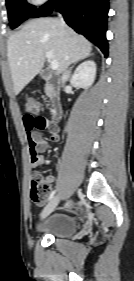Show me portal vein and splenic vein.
<instances>
[{
  "mask_svg": "<svg viewBox=\"0 0 134 281\" xmlns=\"http://www.w3.org/2000/svg\"><path fill=\"white\" fill-rule=\"evenodd\" d=\"M46 58L50 61L51 69L56 70L58 68V62L53 58V54L51 52H47Z\"/></svg>",
  "mask_w": 134,
  "mask_h": 281,
  "instance_id": "obj_1",
  "label": "portal vein and splenic vein"
}]
</instances>
